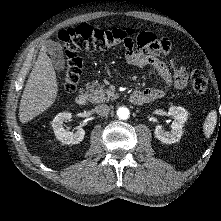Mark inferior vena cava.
Returning <instances> with one entry per match:
<instances>
[{"instance_id": "602c4592", "label": "inferior vena cava", "mask_w": 221, "mask_h": 221, "mask_svg": "<svg viewBox=\"0 0 221 221\" xmlns=\"http://www.w3.org/2000/svg\"><path fill=\"white\" fill-rule=\"evenodd\" d=\"M110 108L107 105L101 104L95 107V112L100 116H106L109 114Z\"/></svg>"}]
</instances>
